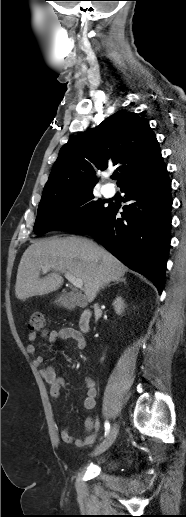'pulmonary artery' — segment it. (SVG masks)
<instances>
[{
  "label": "pulmonary artery",
  "mask_w": 186,
  "mask_h": 517,
  "mask_svg": "<svg viewBox=\"0 0 186 517\" xmlns=\"http://www.w3.org/2000/svg\"><path fill=\"white\" fill-rule=\"evenodd\" d=\"M102 192H103V194H104L106 197H111V196H113V194H114V190H113V188H112V187H110L109 185H104V186L102 187Z\"/></svg>",
  "instance_id": "obj_1"
}]
</instances>
